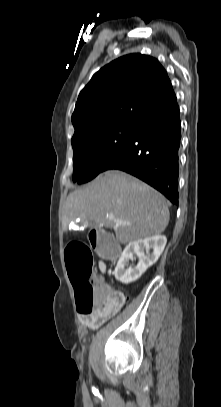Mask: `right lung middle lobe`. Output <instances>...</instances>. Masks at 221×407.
Instances as JSON below:
<instances>
[{"instance_id":"right-lung-middle-lobe-1","label":"right lung middle lobe","mask_w":221,"mask_h":407,"mask_svg":"<svg viewBox=\"0 0 221 407\" xmlns=\"http://www.w3.org/2000/svg\"><path fill=\"white\" fill-rule=\"evenodd\" d=\"M136 124H119L94 131L72 143L73 181L88 182L103 171L107 163L124 147Z\"/></svg>"}]
</instances>
